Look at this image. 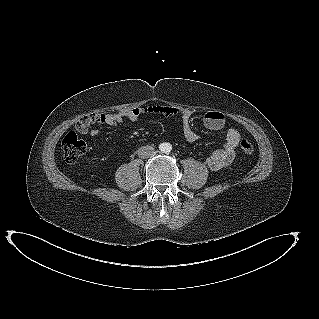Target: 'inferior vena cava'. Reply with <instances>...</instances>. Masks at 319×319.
<instances>
[{
    "label": "inferior vena cava",
    "instance_id": "602c4592",
    "mask_svg": "<svg viewBox=\"0 0 319 319\" xmlns=\"http://www.w3.org/2000/svg\"><path fill=\"white\" fill-rule=\"evenodd\" d=\"M155 153V149L152 146H142L138 149V156L142 159H146Z\"/></svg>",
    "mask_w": 319,
    "mask_h": 319
}]
</instances>
